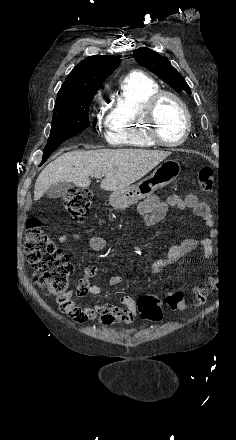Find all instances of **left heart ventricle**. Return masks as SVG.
<instances>
[{"mask_svg":"<svg viewBox=\"0 0 236 440\" xmlns=\"http://www.w3.org/2000/svg\"><path fill=\"white\" fill-rule=\"evenodd\" d=\"M158 128L162 139L176 141L183 135L185 117L181 107L171 98H164L156 112Z\"/></svg>","mask_w":236,"mask_h":440,"instance_id":"1","label":"left heart ventricle"}]
</instances>
